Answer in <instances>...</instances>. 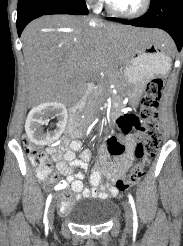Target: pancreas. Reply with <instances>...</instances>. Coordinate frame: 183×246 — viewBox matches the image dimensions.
Instances as JSON below:
<instances>
[{
    "instance_id": "pancreas-1",
    "label": "pancreas",
    "mask_w": 183,
    "mask_h": 246,
    "mask_svg": "<svg viewBox=\"0 0 183 246\" xmlns=\"http://www.w3.org/2000/svg\"><path fill=\"white\" fill-rule=\"evenodd\" d=\"M98 94H99V90L96 89V90L94 91V93H93V94L91 95V97H90V104H95L94 99L97 98Z\"/></svg>"
}]
</instances>
